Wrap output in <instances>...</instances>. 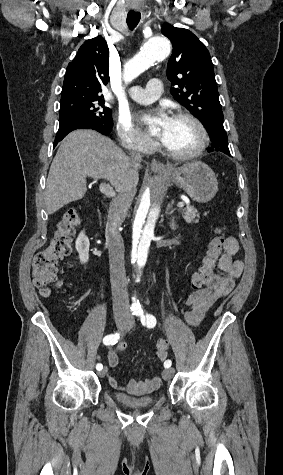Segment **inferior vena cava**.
<instances>
[{
    "label": "inferior vena cava",
    "mask_w": 283,
    "mask_h": 475,
    "mask_svg": "<svg viewBox=\"0 0 283 475\" xmlns=\"http://www.w3.org/2000/svg\"><path fill=\"white\" fill-rule=\"evenodd\" d=\"M133 162L141 160L137 150L129 154ZM133 194L120 192L110 204L108 222L106 224V241L109 249L110 281L113 299V311L129 313L128 281L124 263V243L119 232L124 218L131 206Z\"/></svg>",
    "instance_id": "inferior-vena-cava-1"
}]
</instances>
